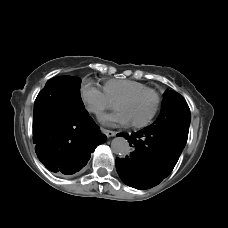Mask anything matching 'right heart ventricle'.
Masks as SVG:
<instances>
[{
	"mask_svg": "<svg viewBox=\"0 0 228 228\" xmlns=\"http://www.w3.org/2000/svg\"><path fill=\"white\" fill-rule=\"evenodd\" d=\"M147 89H151L147 84L128 79H112L104 84L105 95L116 106L124 98Z\"/></svg>",
	"mask_w": 228,
	"mask_h": 228,
	"instance_id": "obj_1",
	"label": "right heart ventricle"
}]
</instances>
